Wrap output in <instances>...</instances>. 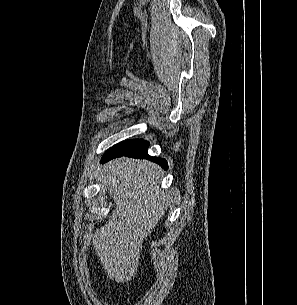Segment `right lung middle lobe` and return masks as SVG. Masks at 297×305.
I'll use <instances>...</instances> for the list:
<instances>
[{
  "instance_id": "obj_1",
  "label": "right lung middle lobe",
  "mask_w": 297,
  "mask_h": 305,
  "mask_svg": "<svg viewBox=\"0 0 297 305\" xmlns=\"http://www.w3.org/2000/svg\"><path fill=\"white\" fill-rule=\"evenodd\" d=\"M141 139H137V140H127V141H124V142H121L115 146H113L112 148H123V147H128V146H131L135 143H137L138 141H140Z\"/></svg>"
}]
</instances>
